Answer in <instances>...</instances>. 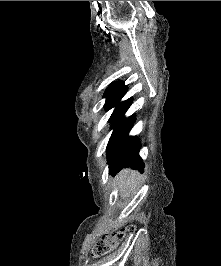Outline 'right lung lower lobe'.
I'll return each mask as SVG.
<instances>
[{
	"instance_id": "1",
	"label": "right lung lower lobe",
	"mask_w": 221,
	"mask_h": 266,
	"mask_svg": "<svg viewBox=\"0 0 221 266\" xmlns=\"http://www.w3.org/2000/svg\"><path fill=\"white\" fill-rule=\"evenodd\" d=\"M134 120V115L122 120L109 140L107 157L109 173L113 176L124 167L143 171L144 164L139 156L140 142L136 137L129 136Z\"/></svg>"
}]
</instances>
